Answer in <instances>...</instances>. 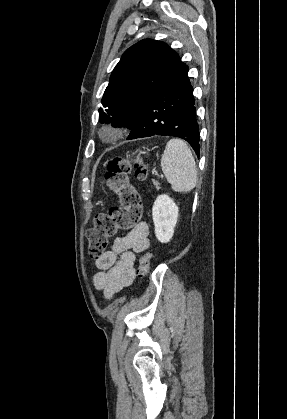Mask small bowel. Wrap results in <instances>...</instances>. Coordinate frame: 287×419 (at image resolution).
I'll use <instances>...</instances> for the list:
<instances>
[{
  "instance_id": "1",
  "label": "small bowel",
  "mask_w": 287,
  "mask_h": 419,
  "mask_svg": "<svg viewBox=\"0 0 287 419\" xmlns=\"http://www.w3.org/2000/svg\"><path fill=\"white\" fill-rule=\"evenodd\" d=\"M149 228L145 222L138 223L121 234L111 247L96 259L99 271L94 276V285L103 291L106 298L132 285L135 279L136 254L149 247Z\"/></svg>"
}]
</instances>
